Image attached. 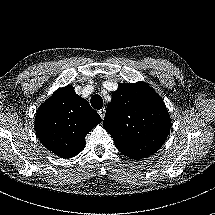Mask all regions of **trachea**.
<instances>
[{
	"label": "trachea",
	"mask_w": 215,
	"mask_h": 215,
	"mask_svg": "<svg viewBox=\"0 0 215 215\" xmlns=\"http://www.w3.org/2000/svg\"><path fill=\"white\" fill-rule=\"evenodd\" d=\"M91 105L94 109H102L103 106V100L102 97L98 94H95L92 98H91Z\"/></svg>",
	"instance_id": "1"
}]
</instances>
